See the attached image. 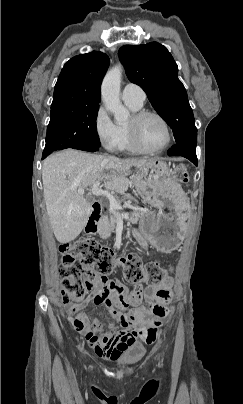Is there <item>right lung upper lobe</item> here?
<instances>
[{
    "mask_svg": "<svg viewBox=\"0 0 243 404\" xmlns=\"http://www.w3.org/2000/svg\"><path fill=\"white\" fill-rule=\"evenodd\" d=\"M108 66L109 57L99 51L71 58L58 77L51 107L65 104L99 105L100 85Z\"/></svg>",
    "mask_w": 243,
    "mask_h": 404,
    "instance_id": "cb5924a9",
    "label": "right lung upper lobe"
}]
</instances>
